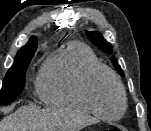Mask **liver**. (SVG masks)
Here are the masks:
<instances>
[{"mask_svg": "<svg viewBox=\"0 0 151 131\" xmlns=\"http://www.w3.org/2000/svg\"><path fill=\"white\" fill-rule=\"evenodd\" d=\"M95 119L72 108L25 105L3 118L0 131H79Z\"/></svg>", "mask_w": 151, "mask_h": 131, "instance_id": "1", "label": "liver"}]
</instances>
